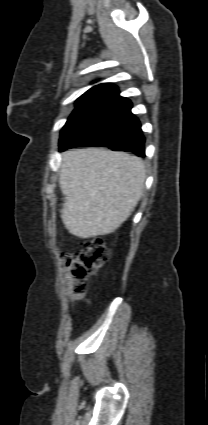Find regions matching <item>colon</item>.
Wrapping results in <instances>:
<instances>
[{"label": "colon", "instance_id": "obj_1", "mask_svg": "<svg viewBox=\"0 0 208 425\" xmlns=\"http://www.w3.org/2000/svg\"><path fill=\"white\" fill-rule=\"evenodd\" d=\"M108 258V249L101 238L81 241L77 250L66 255L69 293L75 298L82 297L86 291L87 278L95 274Z\"/></svg>", "mask_w": 208, "mask_h": 425}]
</instances>
